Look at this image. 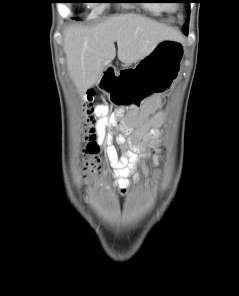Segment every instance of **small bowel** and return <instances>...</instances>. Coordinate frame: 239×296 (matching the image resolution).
<instances>
[{"mask_svg": "<svg viewBox=\"0 0 239 296\" xmlns=\"http://www.w3.org/2000/svg\"><path fill=\"white\" fill-rule=\"evenodd\" d=\"M160 97L155 96L145 102L139 111L124 113L122 108L107 114L106 107L96 106V115L101 116L97 124V141L103 144L111 167V175L120 195H125L131 183V177L137 179L135 170L139 165V155L146 156L147 144L158 139L166 119L165 111H157ZM117 127L112 138L119 144L118 156L110 139L106 140V129ZM158 161V157H154Z\"/></svg>", "mask_w": 239, "mask_h": 296, "instance_id": "small-bowel-1", "label": "small bowel"}]
</instances>
